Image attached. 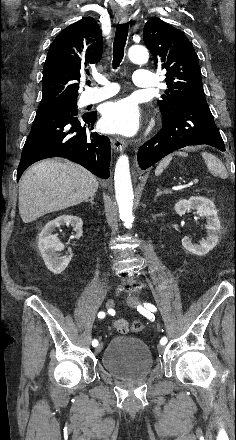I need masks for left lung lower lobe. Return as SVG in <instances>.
Masks as SVG:
<instances>
[{
    "mask_svg": "<svg viewBox=\"0 0 236 440\" xmlns=\"http://www.w3.org/2000/svg\"><path fill=\"white\" fill-rule=\"evenodd\" d=\"M163 127L137 153L141 169H147L171 152L188 145L207 144L225 151L223 139L215 125L205 97L184 101Z\"/></svg>",
    "mask_w": 236,
    "mask_h": 440,
    "instance_id": "0a47b994",
    "label": "left lung lower lobe"
}]
</instances>
